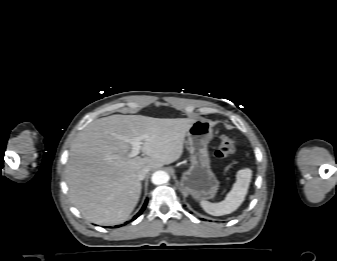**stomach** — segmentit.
Instances as JSON below:
<instances>
[{
	"label": "stomach",
	"instance_id": "stomach-1",
	"mask_svg": "<svg viewBox=\"0 0 337 261\" xmlns=\"http://www.w3.org/2000/svg\"><path fill=\"white\" fill-rule=\"evenodd\" d=\"M213 125L205 119H198L187 131L190 167L183 172L180 187L195 200L214 198L219 181L210 165L208 144L213 138Z\"/></svg>",
	"mask_w": 337,
	"mask_h": 261
}]
</instances>
